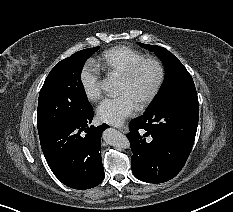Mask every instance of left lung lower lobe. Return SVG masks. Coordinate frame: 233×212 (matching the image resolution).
<instances>
[{"label":"left lung lower lobe","mask_w":233,"mask_h":212,"mask_svg":"<svg viewBox=\"0 0 233 212\" xmlns=\"http://www.w3.org/2000/svg\"><path fill=\"white\" fill-rule=\"evenodd\" d=\"M198 113V103L171 101L148 108L140 118L130 122L127 137L135 177L163 183L180 172L195 140Z\"/></svg>","instance_id":"obj_1"}]
</instances>
